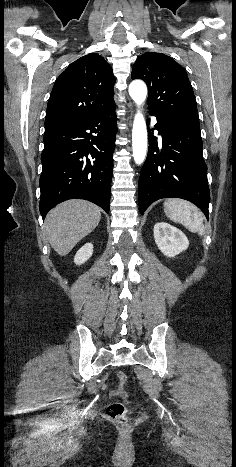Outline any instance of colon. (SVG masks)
Masks as SVG:
<instances>
[{
	"label": "colon",
	"mask_w": 236,
	"mask_h": 467,
	"mask_svg": "<svg viewBox=\"0 0 236 467\" xmlns=\"http://www.w3.org/2000/svg\"><path fill=\"white\" fill-rule=\"evenodd\" d=\"M117 379L119 383L120 390H124L127 383V376L125 373L119 371L117 372ZM107 416L122 425L127 424V407L123 402H113L110 403L106 408Z\"/></svg>",
	"instance_id": "5ec220e1"
}]
</instances>
